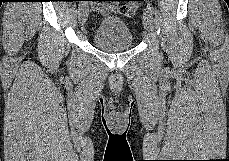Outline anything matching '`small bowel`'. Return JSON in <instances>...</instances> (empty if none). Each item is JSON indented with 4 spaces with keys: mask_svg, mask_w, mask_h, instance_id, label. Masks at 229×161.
I'll use <instances>...</instances> for the list:
<instances>
[{
    "mask_svg": "<svg viewBox=\"0 0 229 161\" xmlns=\"http://www.w3.org/2000/svg\"><path fill=\"white\" fill-rule=\"evenodd\" d=\"M117 10H118L117 4L111 3V4L108 5L107 8H105V9L103 10V12H104V13H112V12H116Z\"/></svg>",
    "mask_w": 229,
    "mask_h": 161,
    "instance_id": "c3829d8e",
    "label": "small bowel"
}]
</instances>
